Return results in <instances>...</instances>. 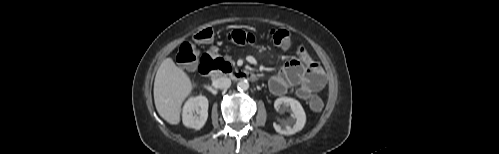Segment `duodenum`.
Masks as SVG:
<instances>
[{
  "label": "duodenum",
  "mask_w": 499,
  "mask_h": 154,
  "mask_svg": "<svg viewBox=\"0 0 499 154\" xmlns=\"http://www.w3.org/2000/svg\"><path fill=\"white\" fill-rule=\"evenodd\" d=\"M210 72L208 73L207 70H205L203 67H200V71L203 74H207V76L215 79L221 76H225L230 78L233 81H244V80H249V81H257L259 79L258 74L252 71L248 70H232L230 69L229 71L225 72L224 74H220L219 70L215 68H210Z\"/></svg>",
  "instance_id": "duodenum-1"
}]
</instances>
